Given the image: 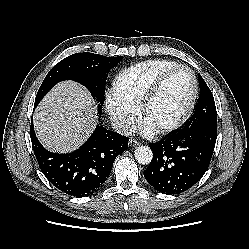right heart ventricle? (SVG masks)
<instances>
[{"mask_svg": "<svg viewBox=\"0 0 249 249\" xmlns=\"http://www.w3.org/2000/svg\"><path fill=\"white\" fill-rule=\"evenodd\" d=\"M178 63L168 59H151L120 71L113 81V94L123 103L138 110L141 100L156 78Z\"/></svg>", "mask_w": 249, "mask_h": 249, "instance_id": "obj_1", "label": "right heart ventricle"}]
</instances>
